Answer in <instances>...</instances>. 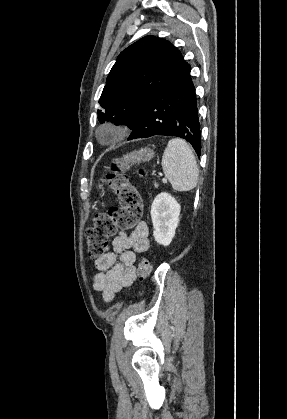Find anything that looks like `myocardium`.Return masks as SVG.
Listing matches in <instances>:
<instances>
[{"label": "myocardium", "mask_w": 287, "mask_h": 419, "mask_svg": "<svg viewBox=\"0 0 287 419\" xmlns=\"http://www.w3.org/2000/svg\"><path fill=\"white\" fill-rule=\"evenodd\" d=\"M127 133L126 128L107 124L100 131V138L104 142H115L123 138Z\"/></svg>", "instance_id": "f54148a6"}]
</instances>
